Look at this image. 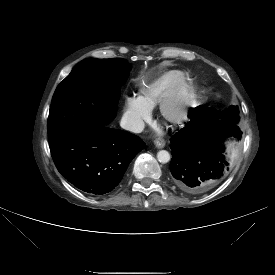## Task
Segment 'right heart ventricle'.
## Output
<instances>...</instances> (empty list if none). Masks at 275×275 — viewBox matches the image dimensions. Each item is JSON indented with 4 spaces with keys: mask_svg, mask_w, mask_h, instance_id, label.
Wrapping results in <instances>:
<instances>
[{
    "mask_svg": "<svg viewBox=\"0 0 275 275\" xmlns=\"http://www.w3.org/2000/svg\"><path fill=\"white\" fill-rule=\"evenodd\" d=\"M177 70H166L160 72L152 80L141 85L137 92L138 101L147 109L155 107L171 85Z\"/></svg>",
    "mask_w": 275,
    "mask_h": 275,
    "instance_id": "right-heart-ventricle-1",
    "label": "right heart ventricle"
}]
</instances>
